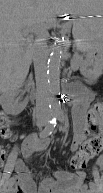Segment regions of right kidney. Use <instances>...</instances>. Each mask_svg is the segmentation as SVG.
<instances>
[{
    "label": "right kidney",
    "instance_id": "right-kidney-1",
    "mask_svg": "<svg viewBox=\"0 0 103 193\" xmlns=\"http://www.w3.org/2000/svg\"><path fill=\"white\" fill-rule=\"evenodd\" d=\"M19 85L5 81L1 87V107L5 113L14 115L20 113L24 107L18 103Z\"/></svg>",
    "mask_w": 103,
    "mask_h": 193
}]
</instances>
